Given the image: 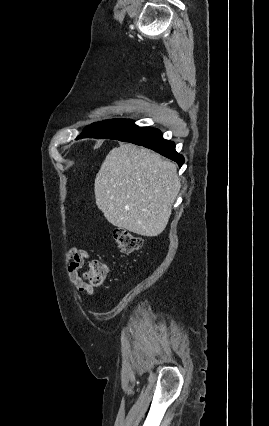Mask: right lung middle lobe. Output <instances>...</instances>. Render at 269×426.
I'll return each mask as SVG.
<instances>
[{
  "instance_id": "right-lung-middle-lobe-1",
  "label": "right lung middle lobe",
  "mask_w": 269,
  "mask_h": 426,
  "mask_svg": "<svg viewBox=\"0 0 269 426\" xmlns=\"http://www.w3.org/2000/svg\"><path fill=\"white\" fill-rule=\"evenodd\" d=\"M138 128L132 120L112 119L89 125L78 138L121 139Z\"/></svg>"
}]
</instances>
